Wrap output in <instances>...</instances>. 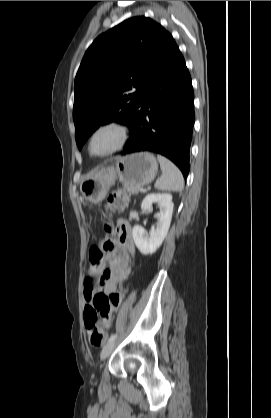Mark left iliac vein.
Wrapping results in <instances>:
<instances>
[{"instance_id": "4c4485c4", "label": "left iliac vein", "mask_w": 271, "mask_h": 418, "mask_svg": "<svg viewBox=\"0 0 271 418\" xmlns=\"http://www.w3.org/2000/svg\"><path fill=\"white\" fill-rule=\"evenodd\" d=\"M115 347V340H113L112 342H108L101 351V359H105L107 358L111 352L113 351Z\"/></svg>"}]
</instances>
